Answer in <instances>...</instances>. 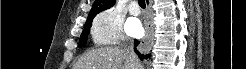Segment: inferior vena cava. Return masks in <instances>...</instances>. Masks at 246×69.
Wrapping results in <instances>:
<instances>
[{
    "mask_svg": "<svg viewBox=\"0 0 246 69\" xmlns=\"http://www.w3.org/2000/svg\"><path fill=\"white\" fill-rule=\"evenodd\" d=\"M121 47H123L126 51H128L130 61L134 64V66H137L139 64V59L134 52L133 43H129V44L124 43L123 45H121Z\"/></svg>",
    "mask_w": 246,
    "mask_h": 69,
    "instance_id": "obj_1",
    "label": "inferior vena cava"
}]
</instances>
